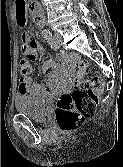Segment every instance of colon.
I'll return each instance as SVG.
<instances>
[{
    "instance_id": "obj_1",
    "label": "colon",
    "mask_w": 123,
    "mask_h": 167,
    "mask_svg": "<svg viewBox=\"0 0 123 167\" xmlns=\"http://www.w3.org/2000/svg\"><path fill=\"white\" fill-rule=\"evenodd\" d=\"M67 57L76 61L80 71L75 77L73 90L61 95L57 101L56 120L61 130L70 132L94 114L104 82L101 76L89 73L87 61L77 55H67ZM27 63L28 60H21V67Z\"/></svg>"
}]
</instances>
